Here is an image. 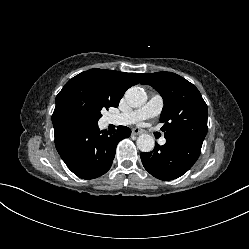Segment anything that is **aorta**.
Segmentation results:
<instances>
[{
    "instance_id": "762f6f07",
    "label": "aorta",
    "mask_w": 249,
    "mask_h": 249,
    "mask_svg": "<svg viewBox=\"0 0 249 249\" xmlns=\"http://www.w3.org/2000/svg\"><path fill=\"white\" fill-rule=\"evenodd\" d=\"M125 99L131 107H140L147 101V94L144 89L133 86L125 93ZM137 147L141 152H150L153 150L155 141L149 134H142L137 138Z\"/></svg>"
}]
</instances>
